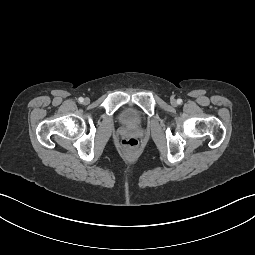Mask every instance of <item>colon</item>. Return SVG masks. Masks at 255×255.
<instances>
[{
    "instance_id": "1",
    "label": "colon",
    "mask_w": 255,
    "mask_h": 255,
    "mask_svg": "<svg viewBox=\"0 0 255 255\" xmlns=\"http://www.w3.org/2000/svg\"><path fill=\"white\" fill-rule=\"evenodd\" d=\"M122 146L125 150L133 152L139 147V141L135 137H127L122 140Z\"/></svg>"
}]
</instances>
